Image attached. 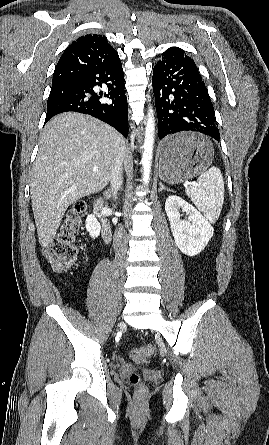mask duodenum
I'll return each instance as SVG.
<instances>
[{"label": "duodenum", "mask_w": 269, "mask_h": 445, "mask_svg": "<svg viewBox=\"0 0 269 445\" xmlns=\"http://www.w3.org/2000/svg\"><path fill=\"white\" fill-rule=\"evenodd\" d=\"M104 209V200L103 198H99L94 205V212L98 218V221L101 226V234L103 239L106 242H110L112 239V228L110 222L103 214Z\"/></svg>", "instance_id": "410a0bca"}]
</instances>
